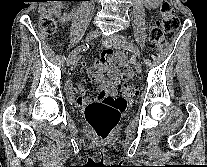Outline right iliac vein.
Segmentation results:
<instances>
[{
  "label": "right iliac vein",
  "mask_w": 207,
  "mask_h": 167,
  "mask_svg": "<svg viewBox=\"0 0 207 167\" xmlns=\"http://www.w3.org/2000/svg\"><path fill=\"white\" fill-rule=\"evenodd\" d=\"M98 31L97 30H92L85 38L84 43L92 41L94 38L98 36ZM78 62V57L77 55L72 59L71 63L69 64L71 70H73Z\"/></svg>",
  "instance_id": "obj_1"
}]
</instances>
